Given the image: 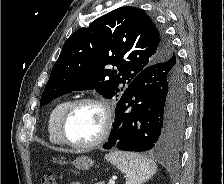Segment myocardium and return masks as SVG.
<instances>
[{"instance_id": "myocardium-1", "label": "myocardium", "mask_w": 224, "mask_h": 184, "mask_svg": "<svg viewBox=\"0 0 224 184\" xmlns=\"http://www.w3.org/2000/svg\"><path fill=\"white\" fill-rule=\"evenodd\" d=\"M82 104H93L98 106L103 113V123L101 127V132L95 140L84 144H78L74 143L69 139L66 131V125L72 112L79 105ZM113 122H114L113 109L105 99L95 96H83L71 101L64 110L59 122V134L62 142L65 143L66 145L78 150H88L101 145L103 142L107 140V138L111 133Z\"/></svg>"}]
</instances>
